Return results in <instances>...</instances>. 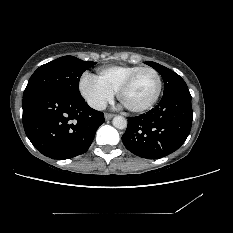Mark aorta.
<instances>
[{"instance_id": "762f6f07", "label": "aorta", "mask_w": 233, "mask_h": 233, "mask_svg": "<svg viewBox=\"0 0 233 233\" xmlns=\"http://www.w3.org/2000/svg\"><path fill=\"white\" fill-rule=\"evenodd\" d=\"M112 123L117 129H124L127 127V120L123 116L114 117Z\"/></svg>"}]
</instances>
